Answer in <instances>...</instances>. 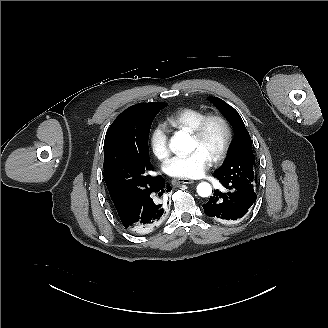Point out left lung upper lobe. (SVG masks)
I'll use <instances>...</instances> for the list:
<instances>
[{
  "instance_id": "5c2ea615",
  "label": "left lung upper lobe",
  "mask_w": 328,
  "mask_h": 328,
  "mask_svg": "<svg viewBox=\"0 0 328 328\" xmlns=\"http://www.w3.org/2000/svg\"><path fill=\"white\" fill-rule=\"evenodd\" d=\"M209 100L226 117L236 132L228 155L215 175L225 181H239L255 185L257 180L252 141L239 113L220 98L210 97Z\"/></svg>"
}]
</instances>
